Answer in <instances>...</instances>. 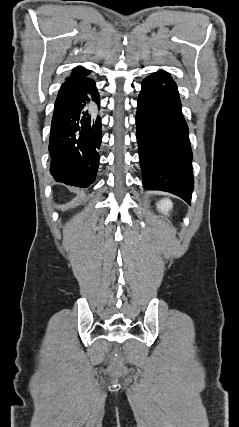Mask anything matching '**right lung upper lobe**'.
Returning a JSON list of instances; mask_svg holds the SVG:
<instances>
[{"label": "right lung upper lobe", "mask_w": 239, "mask_h": 427, "mask_svg": "<svg viewBox=\"0 0 239 427\" xmlns=\"http://www.w3.org/2000/svg\"><path fill=\"white\" fill-rule=\"evenodd\" d=\"M87 72H89L87 69H84L82 67H76L73 69L71 76L76 74H81V73H87Z\"/></svg>", "instance_id": "right-lung-upper-lobe-1"}]
</instances>
